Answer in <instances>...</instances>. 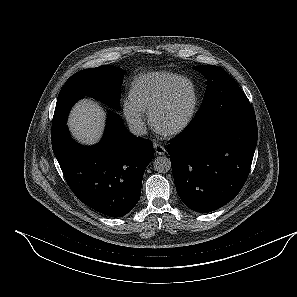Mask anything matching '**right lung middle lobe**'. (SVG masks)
Listing matches in <instances>:
<instances>
[{"mask_svg": "<svg viewBox=\"0 0 297 297\" xmlns=\"http://www.w3.org/2000/svg\"><path fill=\"white\" fill-rule=\"evenodd\" d=\"M124 74L125 71L121 68L105 65L81 70L72 75L59 93L52 121L51 137L61 131L66 124L71 107L82 97L99 98L118 110Z\"/></svg>", "mask_w": 297, "mask_h": 297, "instance_id": "dd1d6c3e", "label": "right lung middle lobe"}]
</instances>
